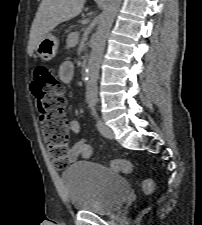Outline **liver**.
Returning a JSON list of instances; mask_svg holds the SVG:
<instances>
[{
	"mask_svg": "<svg viewBox=\"0 0 202 225\" xmlns=\"http://www.w3.org/2000/svg\"><path fill=\"white\" fill-rule=\"evenodd\" d=\"M85 0H42L30 30L28 54L32 56L39 42L60 23L78 16Z\"/></svg>",
	"mask_w": 202,
	"mask_h": 225,
	"instance_id": "obj_1",
	"label": "liver"
}]
</instances>
